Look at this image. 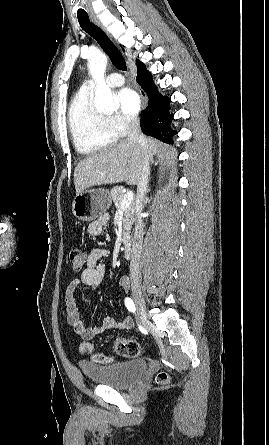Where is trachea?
I'll use <instances>...</instances> for the list:
<instances>
[{
  "mask_svg": "<svg viewBox=\"0 0 269 445\" xmlns=\"http://www.w3.org/2000/svg\"><path fill=\"white\" fill-rule=\"evenodd\" d=\"M77 18L80 27L98 42V44L111 59L113 65L119 70H127L126 62L122 54L105 34V32L100 27L92 23L88 15H77Z\"/></svg>",
  "mask_w": 269,
  "mask_h": 445,
  "instance_id": "3493384b",
  "label": "trachea"
}]
</instances>
